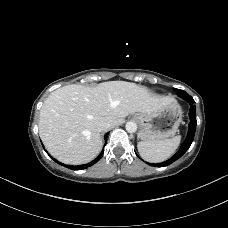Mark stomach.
<instances>
[{
    "label": "stomach",
    "instance_id": "obj_1",
    "mask_svg": "<svg viewBox=\"0 0 228 228\" xmlns=\"http://www.w3.org/2000/svg\"><path fill=\"white\" fill-rule=\"evenodd\" d=\"M140 124L138 137L143 141H160L173 136L182 120L181 108L175 100L152 113H136Z\"/></svg>",
    "mask_w": 228,
    "mask_h": 228
}]
</instances>
